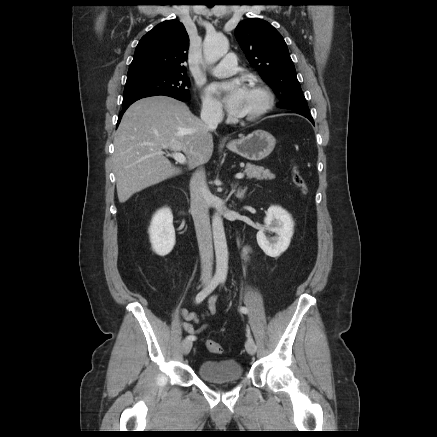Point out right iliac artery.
I'll return each instance as SVG.
<instances>
[{
	"mask_svg": "<svg viewBox=\"0 0 437 437\" xmlns=\"http://www.w3.org/2000/svg\"><path fill=\"white\" fill-rule=\"evenodd\" d=\"M221 279L218 277H214L210 283L208 284V286L206 288H204L203 290H201L197 296H196V303H200L202 302L211 292H213V290L218 286V284L220 283ZM186 339L188 340H195L196 337L189 335L186 337Z\"/></svg>",
	"mask_w": 437,
	"mask_h": 437,
	"instance_id": "right-iliac-artery-1",
	"label": "right iliac artery"
}]
</instances>
